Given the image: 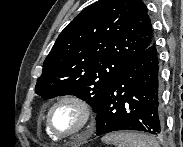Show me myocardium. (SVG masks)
I'll return each instance as SVG.
<instances>
[{
    "label": "myocardium",
    "instance_id": "myocardium-1",
    "mask_svg": "<svg viewBox=\"0 0 183 147\" xmlns=\"http://www.w3.org/2000/svg\"><path fill=\"white\" fill-rule=\"evenodd\" d=\"M67 102L75 104L81 110L83 115V121L81 126L75 131L66 134H60L53 129V126L51 124V113L55 107H57L62 103ZM93 120H94V113L91 104L85 98L78 95H64L58 98L50 105L46 113V126L48 131L51 133L52 136L60 140L68 139L82 133L83 131H85L87 128L90 127Z\"/></svg>",
    "mask_w": 183,
    "mask_h": 147
}]
</instances>
